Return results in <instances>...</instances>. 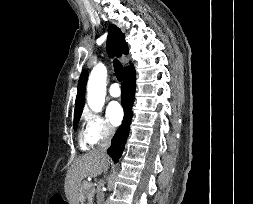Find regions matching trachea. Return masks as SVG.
Returning a JSON list of instances; mask_svg holds the SVG:
<instances>
[{"label":"trachea","mask_w":253,"mask_h":204,"mask_svg":"<svg viewBox=\"0 0 253 204\" xmlns=\"http://www.w3.org/2000/svg\"><path fill=\"white\" fill-rule=\"evenodd\" d=\"M114 71H115V75H116L118 81L122 82V80H123V66L118 60L114 61Z\"/></svg>","instance_id":"trachea-1"}]
</instances>
